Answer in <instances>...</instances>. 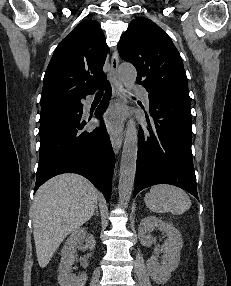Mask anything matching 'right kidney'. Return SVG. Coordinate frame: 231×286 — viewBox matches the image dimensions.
Here are the masks:
<instances>
[{
	"instance_id": "obj_1",
	"label": "right kidney",
	"mask_w": 231,
	"mask_h": 286,
	"mask_svg": "<svg viewBox=\"0 0 231 286\" xmlns=\"http://www.w3.org/2000/svg\"><path fill=\"white\" fill-rule=\"evenodd\" d=\"M86 242V245L90 249L95 248V239L92 235H88V232L84 228L75 230L70 237L66 240L62 249L61 262L59 265L58 282L60 286H84L87 281V275L81 274L75 276L71 273V268L74 263V255L78 245Z\"/></svg>"
}]
</instances>
